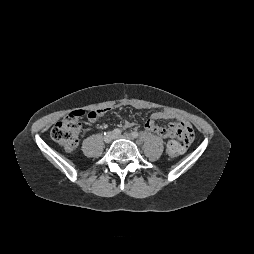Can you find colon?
Masks as SVG:
<instances>
[{
    "instance_id": "obj_1",
    "label": "colon",
    "mask_w": 254,
    "mask_h": 254,
    "mask_svg": "<svg viewBox=\"0 0 254 254\" xmlns=\"http://www.w3.org/2000/svg\"><path fill=\"white\" fill-rule=\"evenodd\" d=\"M84 115H87L89 118H96L99 115V110L90 111L88 113L78 110L69 114L53 126L51 130L52 139L63 146L65 150L73 151L79 143V137L82 131L80 119ZM191 131V128L186 125H181L177 129V133L182 137H188L191 134ZM181 152L182 146L178 140L171 141L168 144L167 153L169 157L174 158L181 154Z\"/></svg>"
}]
</instances>
